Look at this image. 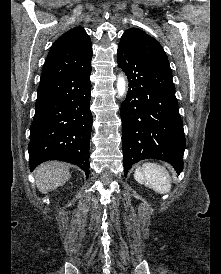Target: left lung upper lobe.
Listing matches in <instances>:
<instances>
[{"label": "left lung upper lobe", "instance_id": "1", "mask_svg": "<svg viewBox=\"0 0 221 274\" xmlns=\"http://www.w3.org/2000/svg\"><path fill=\"white\" fill-rule=\"evenodd\" d=\"M118 48L130 52L152 65L172 72L168 58L158 41L137 28H130L124 32Z\"/></svg>", "mask_w": 221, "mask_h": 274}]
</instances>
